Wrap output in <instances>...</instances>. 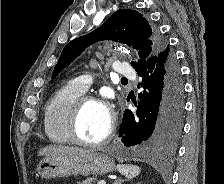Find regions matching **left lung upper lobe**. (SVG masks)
I'll use <instances>...</instances> for the list:
<instances>
[{"instance_id":"left-lung-upper-lobe-1","label":"left lung upper lobe","mask_w":224,"mask_h":184,"mask_svg":"<svg viewBox=\"0 0 224 184\" xmlns=\"http://www.w3.org/2000/svg\"><path fill=\"white\" fill-rule=\"evenodd\" d=\"M100 40H113L133 46L138 50L140 60L131 62L135 70L141 68L153 56L162 52L166 44L152 31L148 21L135 10L120 9L93 32L69 42L63 49L53 77L68 66L85 47Z\"/></svg>"}]
</instances>
